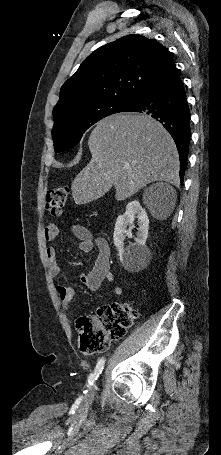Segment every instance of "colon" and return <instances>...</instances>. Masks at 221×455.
<instances>
[{
	"instance_id": "5ec220e1",
	"label": "colon",
	"mask_w": 221,
	"mask_h": 455,
	"mask_svg": "<svg viewBox=\"0 0 221 455\" xmlns=\"http://www.w3.org/2000/svg\"><path fill=\"white\" fill-rule=\"evenodd\" d=\"M69 196V188L61 185L51 189L46 196V210L59 216ZM138 316V311L130 304L112 303L100 307L95 314L77 319L80 333V350L83 353H96L105 350L110 341L124 337Z\"/></svg>"
}]
</instances>
